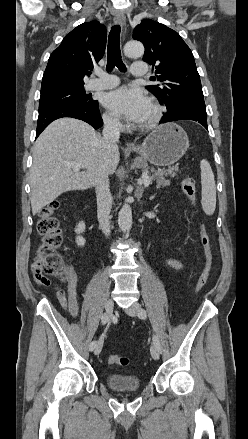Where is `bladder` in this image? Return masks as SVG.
Instances as JSON below:
<instances>
[{"mask_svg": "<svg viewBox=\"0 0 248 439\" xmlns=\"http://www.w3.org/2000/svg\"><path fill=\"white\" fill-rule=\"evenodd\" d=\"M107 386L118 392L136 391L141 389L142 383L135 375L110 373L105 378Z\"/></svg>", "mask_w": 248, "mask_h": 439, "instance_id": "bladder-1", "label": "bladder"}]
</instances>
